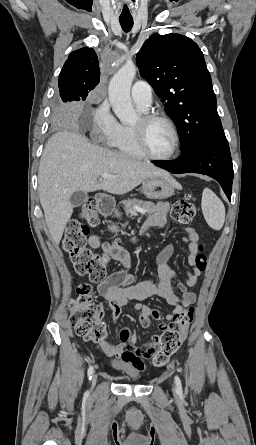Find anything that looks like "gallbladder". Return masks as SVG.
Instances as JSON below:
<instances>
[{"instance_id": "gallbladder-1", "label": "gallbladder", "mask_w": 256, "mask_h": 445, "mask_svg": "<svg viewBox=\"0 0 256 445\" xmlns=\"http://www.w3.org/2000/svg\"><path fill=\"white\" fill-rule=\"evenodd\" d=\"M88 199L87 194L83 191H76L72 194L70 201L74 207L82 205Z\"/></svg>"}]
</instances>
